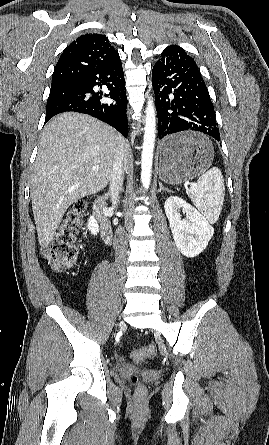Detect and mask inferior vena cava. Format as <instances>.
Listing matches in <instances>:
<instances>
[{"label": "inferior vena cava", "mask_w": 269, "mask_h": 445, "mask_svg": "<svg viewBox=\"0 0 269 445\" xmlns=\"http://www.w3.org/2000/svg\"><path fill=\"white\" fill-rule=\"evenodd\" d=\"M123 152L119 150L114 157L113 170L110 179V195L112 207L116 208L119 200V192L122 191L123 185Z\"/></svg>", "instance_id": "inferior-vena-cava-1"}]
</instances>
